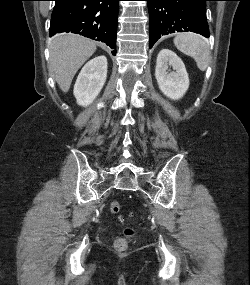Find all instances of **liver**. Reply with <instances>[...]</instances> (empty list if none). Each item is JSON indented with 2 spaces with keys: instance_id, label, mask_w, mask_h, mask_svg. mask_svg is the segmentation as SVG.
I'll return each instance as SVG.
<instances>
[{
  "instance_id": "liver-1",
  "label": "liver",
  "mask_w": 250,
  "mask_h": 285,
  "mask_svg": "<svg viewBox=\"0 0 250 285\" xmlns=\"http://www.w3.org/2000/svg\"><path fill=\"white\" fill-rule=\"evenodd\" d=\"M49 49L50 68L66 93L76 72L96 51V43L71 33L58 34L52 38Z\"/></svg>"
}]
</instances>
